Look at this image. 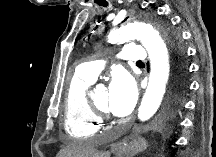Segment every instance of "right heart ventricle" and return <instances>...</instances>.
<instances>
[{
	"mask_svg": "<svg viewBox=\"0 0 216 157\" xmlns=\"http://www.w3.org/2000/svg\"><path fill=\"white\" fill-rule=\"evenodd\" d=\"M93 82L77 73L68 82L64 96L63 127L71 137L88 138L98 130L100 118L94 113L87 96Z\"/></svg>",
	"mask_w": 216,
	"mask_h": 157,
	"instance_id": "1",
	"label": "right heart ventricle"
}]
</instances>
